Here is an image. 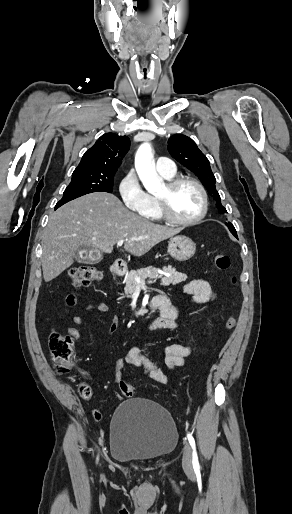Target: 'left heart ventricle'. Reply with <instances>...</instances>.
<instances>
[{
    "label": "left heart ventricle",
    "mask_w": 292,
    "mask_h": 514,
    "mask_svg": "<svg viewBox=\"0 0 292 514\" xmlns=\"http://www.w3.org/2000/svg\"><path fill=\"white\" fill-rule=\"evenodd\" d=\"M155 196L164 197L171 214L180 220H189L200 210L199 192L189 184L182 185L171 192H167L164 185Z\"/></svg>",
    "instance_id": "b2bd125f"
}]
</instances>
